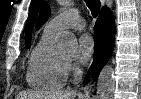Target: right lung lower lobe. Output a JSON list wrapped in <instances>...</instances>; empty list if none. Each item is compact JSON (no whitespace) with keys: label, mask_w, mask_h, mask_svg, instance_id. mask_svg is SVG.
I'll return each instance as SVG.
<instances>
[{"label":"right lung lower lobe","mask_w":141,"mask_h":99,"mask_svg":"<svg viewBox=\"0 0 141 99\" xmlns=\"http://www.w3.org/2000/svg\"><path fill=\"white\" fill-rule=\"evenodd\" d=\"M95 54L92 76L96 78L101 68L108 61L114 45L115 23L113 15L108 8H102L95 27ZM88 78V76H87ZM87 79L85 80V82Z\"/></svg>","instance_id":"obj_1"}]
</instances>
